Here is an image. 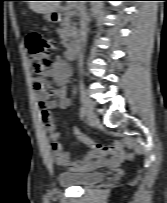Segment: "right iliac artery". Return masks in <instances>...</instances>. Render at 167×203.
I'll return each mask as SVG.
<instances>
[{
    "label": "right iliac artery",
    "instance_id": "right-iliac-artery-1",
    "mask_svg": "<svg viewBox=\"0 0 167 203\" xmlns=\"http://www.w3.org/2000/svg\"><path fill=\"white\" fill-rule=\"evenodd\" d=\"M79 114H80V117H81L82 119L85 118L86 112H85L84 107H80V109H79Z\"/></svg>",
    "mask_w": 167,
    "mask_h": 203
}]
</instances>
